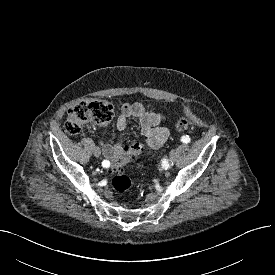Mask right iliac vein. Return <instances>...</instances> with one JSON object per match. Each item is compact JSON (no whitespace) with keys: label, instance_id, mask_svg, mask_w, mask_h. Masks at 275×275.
Wrapping results in <instances>:
<instances>
[{"label":"right iliac vein","instance_id":"1","mask_svg":"<svg viewBox=\"0 0 275 275\" xmlns=\"http://www.w3.org/2000/svg\"><path fill=\"white\" fill-rule=\"evenodd\" d=\"M93 154L95 157H99L101 155V151L98 147H95L93 150Z\"/></svg>","mask_w":275,"mask_h":275}]
</instances>
